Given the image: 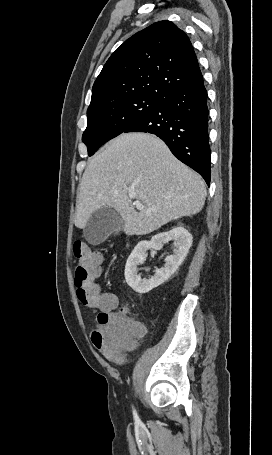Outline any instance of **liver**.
I'll return each instance as SVG.
<instances>
[{
    "label": "liver",
    "mask_w": 272,
    "mask_h": 455,
    "mask_svg": "<svg viewBox=\"0 0 272 455\" xmlns=\"http://www.w3.org/2000/svg\"><path fill=\"white\" fill-rule=\"evenodd\" d=\"M79 189L76 227L84 229L95 211L108 206L120 214L126 235H145L199 213L207 194L201 177L148 133H123L108 142L89 161ZM130 191L143 205L138 212Z\"/></svg>",
    "instance_id": "6515ba94"
}]
</instances>
